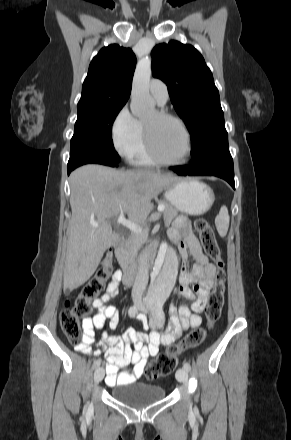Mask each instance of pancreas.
<instances>
[{
  "mask_svg": "<svg viewBox=\"0 0 291 440\" xmlns=\"http://www.w3.org/2000/svg\"><path fill=\"white\" fill-rule=\"evenodd\" d=\"M165 206L163 218L166 226L178 215V210L171 206L167 201H160ZM146 241L143 234L132 233L131 236L119 248L118 261L121 266H126L135 262L139 249Z\"/></svg>",
  "mask_w": 291,
  "mask_h": 440,
  "instance_id": "cf45deb5",
  "label": "pancreas"
}]
</instances>
